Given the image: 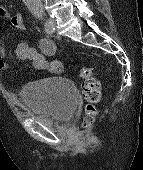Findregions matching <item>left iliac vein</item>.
Here are the masks:
<instances>
[{
    "instance_id": "obj_1",
    "label": "left iliac vein",
    "mask_w": 143,
    "mask_h": 170,
    "mask_svg": "<svg viewBox=\"0 0 143 170\" xmlns=\"http://www.w3.org/2000/svg\"><path fill=\"white\" fill-rule=\"evenodd\" d=\"M47 26L45 27V30L47 33H52V31H54L55 29V24H56V21L52 18H50L48 21H47ZM50 31V32H49Z\"/></svg>"
}]
</instances>
